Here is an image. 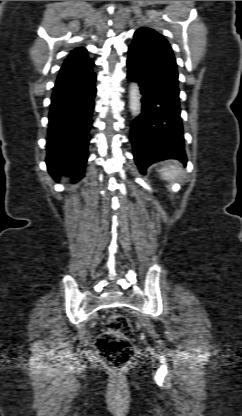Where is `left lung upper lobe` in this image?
Listing matches in <instances>:
<instances>
[{"instance_id": "obj_1", "label": "left lung upper lobe", "mask_w": 242, "mask_h": 416, "mask_svg": "<svg viewBox=\"0 0 242 416\" xmlns=\"http://www.w3.org/2000/svg\"><path fill=\"white\" fill-rule=\"evenodd\" d=\"M146 31H148V32H152V33H154V34H156V35H158V36H160L161 38H163L160 34H158L156 31H154V30H152V29H150V28H147V27H143V28H140V29H138L136 32H146ZM164 39V38H163ZM164 41L169 45V43L167 42V40L166 39H164ZM170 46V45H169Z\"/></svg>"}]
</instances>
